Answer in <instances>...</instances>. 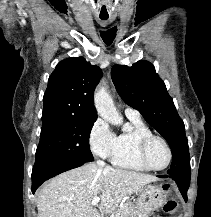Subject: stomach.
<instances>
[{"mask_svg": "<svg viewBox=\"0 0 211 217\" xmlns=\"http://www.w3.org/2000/svg\"><path fill=\"white\" fill-rule=\"evenodd\" d=\"M166 201V195L160 185H148L140 190L135 203L136 217H148L150 212L161 207Z\"/></svg>", "mask_w": 211, "mask_h": 217, "instance_id": "1", "label": "stomach"}]
</instances>
